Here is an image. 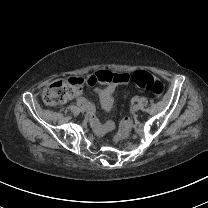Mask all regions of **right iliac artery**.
<instances>
[{"mask_svg": "<svg viewBox=\"0 0 208 208\" xmlns=\"http://www.w3.org/2000/svg\"><path fill=\"white\" fill-rule=\"evenodd\" d=\"M78 107H82V104L80 102H77Z\"/></svg>", "mask_w": 208, "mask_h": 208, "instance_id": "right-iliac-artery-1", "label": "right iliac artery"}]
</instances>
